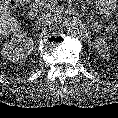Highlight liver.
Masks as SVG:
<instances>
[{"instance_id": "1", "label": "liver", "mask_w": 118, "mask_h": 118, "mask_svg": "<svg viewBox=\"0 0 118 118\" xmlns=\"http://www.w3.org/2000/svg\"><path fill=\"white\" fill-rule=\"evenodd\" d=\"M20 27L12 11L8 10V4H2L0 0V38L19 32Z\"/></svg>"}]
</instances>
